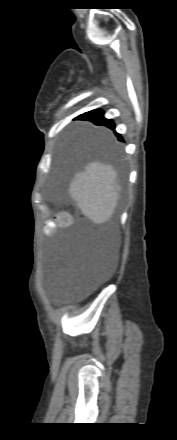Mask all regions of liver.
Segmentation results:
<instances>
[{
	"mask_svg": "<svg viewBox=\"0 0 177 440\" xmlns=\"http://www.w3.org/2000/svg\"><path fill=\"white\" fill-rule=\"evenodd\" d=\"M116 169L94 161L74 175L68 193L82 214L95 224L109 221L118 205L121 187Z\"/></svg>",
	"mask_w": 177,
	"mask_h": 440,
	"instance_id": "liver-1",
	"label": "liver"
}]
</instances>
